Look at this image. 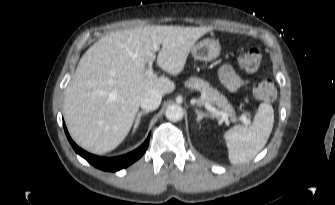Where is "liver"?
I'll use <instances>...</instances> for the list:
<instances>
[{"instance_id": "liver-1", "label": "liver", "mask_w": 335, "mask_h": 205, "mask_svg": "<svg viewBox=\"0 0 335 205\" xmlns=\"http://www.w3.org/2000/svg\"><path fill=\"white\" fill-rule=\"evenodd\" d=\"M211 30L147 25L99 39L84 53L66 88L64 113L73 140L94 154L115 149L133 125L142 94L154 89L164 96L175 89L170 79L145 74L156 48L162 45L157 65L177 76L196 41Z\"/></svg>"}]
</instances>
